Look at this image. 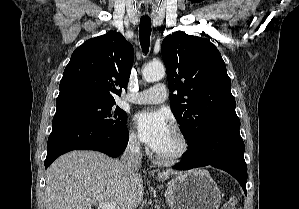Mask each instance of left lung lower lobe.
<instances>
[{"mask_svg": "<svg viewBox=\"0 0 299 209\" xmlns=\"http://www.w3.org/2000/svg\"><path fill=\"white\" fill-rule=\"evenodd\" d=\"M240 120L230 116L213 122L204 133L189 142V150L182 162L173 166L178 170L211 165L231 174L247 195V165L244 160L245 146L239 132Z\"/></svg>", "mask_w": 299, "mask_h": 209, "instance_id": "1", "label": "left lung lower lobe"}]
</instances>
